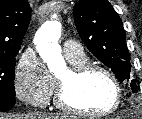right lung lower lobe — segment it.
<instances>
[{"label": "right lung lower lobe", "mask_w": 142, "mask_h": 119, "mask_svg": "<svg viewBox=\"0 0 142 119\" xmlns=\"http://www.w3.org/2000/svg\"><path fill=\"white\" fill-rule=\"evenodd\" d=\"M15 104V101H10L8 99L0 98V111H7L13 105Z\"/></svg>", "instance_id": "98d812e1"}]
</instances>
